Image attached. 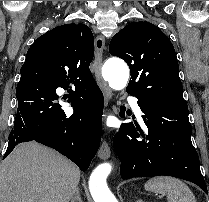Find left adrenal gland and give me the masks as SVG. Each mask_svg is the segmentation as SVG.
Returning a JSON list of instances; mask_svg holds the SVG:
<instances>
[{
    "instance_id": "left-adrenal-gland-1",
    "label": "left adrenal gland",
    "mask_w": 209,
    "mask_h": 202,
    "mask_svg": "<svg viewBox=\"0 0 209 202\" xmlns=\"http://www.w3.org/2000/svg\"><path fill=\"white\" fill-rule=\"evenodd\" d=\"M137 202H144L143 200H141V199H138V201Z\"/></svg>"
}]
</instances>
